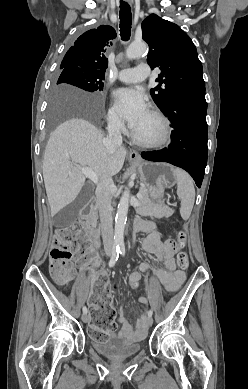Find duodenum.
<instances>
[{
	"mask_svg": "<svg viewBox=\"0 0 248 389\" xmlns=\"http://www.w3.org/2000/svg\"><path fill=\"white\" fill-rule=\"evenodd\" d=\"M98 209L95 204H91L87 212L83 213L80 217V223L88 238L90 239L92 246L95 249L99 248L98 233L96 229V219H97Z\"/></svg>",
	"mask_w": 248,
	"mask_h": 389,
	"instance_id": "1",
	"label": "duodenum"
}]
</instances>
